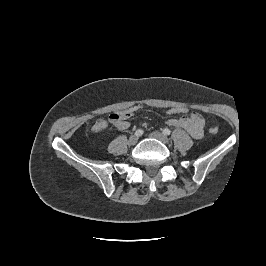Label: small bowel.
<instances>
[{
    "label": "small bowel",
    "mask_w": 266,
    "mask_h": 266,
    "mask_svg": "<svg viewBox=\"0 0 266 266\" xmlns=\"http://www.w3.org/2000/svg\"><path fill=\"white\" fill-rule=\"evenodd\" d=\"M167 124L172 127L184 128L193 138L200 139L204 134V120L198 113H191L181 118H170ZM119 130H126L130 124L127 120H123L115 125ZM107 128L105 119H98L92 126L95 133L101 132Z\"/></svg>",
    "instance_id": "small-bowel-1"
}]
</instances>
